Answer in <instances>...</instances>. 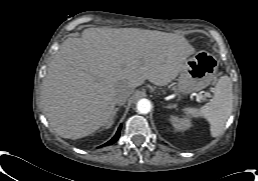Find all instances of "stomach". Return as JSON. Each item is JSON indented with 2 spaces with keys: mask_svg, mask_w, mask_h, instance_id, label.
Returning a JSON list of instances; mask_svg holds the SVG:
<instances>
[{
  "mask_svg": "<svg viewBox=\"0 0 258 181\" xmlns=\"http://www.w3.org/2000/svg\"><path fill=\"white\" fill-rule=\"evenodd\" d=\"M218 61L207 51H198L188 58L180 71L175 91L186 95L206 88L215 78Z\"/></svg>",
  "mask_w": 258,
  "mask_h": 181,
  "instance_id": "stomach-1",
  "label": "stomach"
}]
</instances>
